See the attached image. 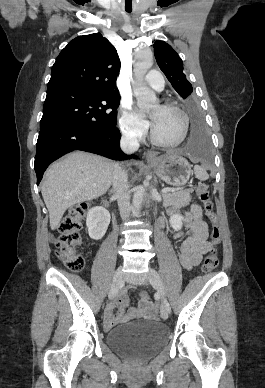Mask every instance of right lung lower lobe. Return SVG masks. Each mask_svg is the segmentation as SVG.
<instances>
[{
    "instance_id": "obj_1",
    "label": "right lung lower lobe",
    "mask_w": 265,
    "mask_h": 388,
    "mask_svg": "<svg viewBox=\"0 0 265 388\" xmlns=\"http://www.w3.org/2000/svg\"><path fill=\"white\" fill-rule=\"evenodd\" d=\"M120 138L117 128L102 130L80 124H59L40 130L34 162L37 184L49 164L72 150H83L115 160L131 158L121 151Z\"/></svg>"
}]
</instances>
